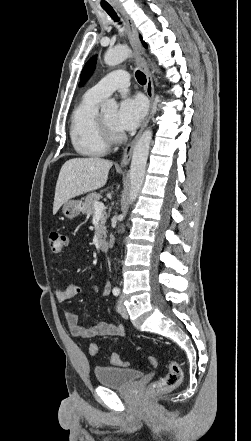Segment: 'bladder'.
I'll return each instance as SVG.
<instances>
[{"label": "bladder", "instance_id": "31cf9c89", "mask_svg": "<svg viewBox=\"0 0 251 441\" xmlns=\"http://www.w3.org/2000/svg\"><path fill=\"white\" fill-rule=\"evenodd\" d=\"M97 382L105 387L127 389L143 376L137 369L98 366L94 369Z\"/></svg>", "mask_w": 251, "mask_h": 441}]
</instances>
